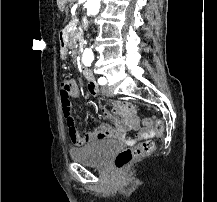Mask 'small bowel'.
Returning a JSON list of instances; mask_svg holds the SVG:
<instances>
[{"label":"small bowel","instance_id":"obj_1","mask_svg":"<svg viewBox=\"0 0 217 202\" xmlns=\"http://www.w3.org/2000/svg\"><path fill=\"white\" fill-rule=\"evenodd\" d=\"M87 87L92 96L97 97L99 95L98 86L93 80H88ZM80 94V88L73 80L70 97L78 98ZM134 109H136V104H131L130 101H119L118 104H113L111 112L118 113L121 119L118 116H111L110 119L114 122L110 125H103L85 133L76 131L75 134L70 135L72 144L75 146H83L105 139H114L124 145L133 146L136 144L137 139L153 137L154 129L142 128V121L137 119ZM105 116L110 117V114L105 111ZM131 133L134 137L130 135Z\"/></svg>","mask_w":217,"mask_h":202}]
</instances>
